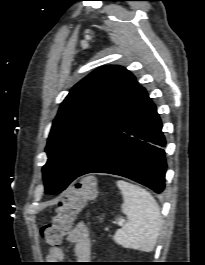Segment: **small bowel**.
<instances>
[{
  "label": "small bowel",
  "mask_w": 205,
  "mask_h": 265,
  "mask_svg": "<svg viewBox=\"0 0 205 265\" xmlns=\"http://www.w3.org/2000/svg\"><path fill=\"white\" fill-rule=\"evenodd\" d=\"M66 242L73 246V252L80 263H86L91 258V239L88 227L77 223L67 234ZM64 249L58 246L51 247L47 253V260L58 262L64 259Z\"/></svg>",
  "instance_id": "c3829d8e"
}]
</instances>
